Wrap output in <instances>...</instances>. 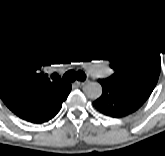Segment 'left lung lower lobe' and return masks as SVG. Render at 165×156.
Wrapping results in <instances>:
<instances>
[{
  "label": "left lung lower lobe",
  "instance_id": "left-lung-lower-lobe-1",
  "mask_svg": "<svg viewBox=\"0 0 165 156\" xmlns=\"http://www.w3.org/2000/svg\"><path fill=\"white\" fill-rule=\"evenodd\" d=\"M99 82L103 87V92L93 105L104 115L114 118L124 117L137 111L143 105L106 79H100Z\"/></svg>",
  "mask_w": 165,
  "mask_h": 156
}]
</instances>
